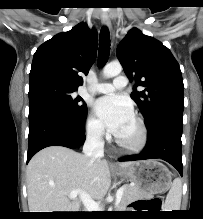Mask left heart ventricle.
I'll return each mask as SVG.
<instances>
[{"instance_id": "b2bd125f", "label": "left heart ventricle", "mask_w": 203, "mask_h": 219, "mask_svg": "<svg viewBox=\"0 0 203 219\" xmlns=\"http://www.w3.org/2000/svg\"><path fill=\"white\" fill-rule=\"evenodd\" d=\"M116 136L127 143L136 142L139 138V128L134 118L130 119Z\"/></svg>"}]
</instances>
